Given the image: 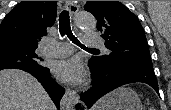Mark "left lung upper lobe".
<instances>
[{"mask_svg": "<svg viewBox=\"0 0 171 110\" xmlns=\"http://www.w3.org/2000/svg\"><path fill=\"white\" fill-rule=\"evenodd\" d=\"M85 10L97 19L109 55L94 56L90 67L113 65L152 66L145 33L138 18L119 1H87Z\"/></svg>", "mask_w": 171, "mask_h": 110, "instance_id": "obj_1", "label": "left lung upper lobe"}]
</instances>
